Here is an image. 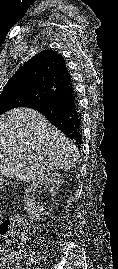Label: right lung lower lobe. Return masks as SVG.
<instances>
[{
  "instance_id": "98d812e1",
  "label": "right lung lower lobe",
  "mask_w": 118,
  "mask_h": 269,
  "mask_svg": "<svg viewBox=\"0 0 118 269\" xmlns=\"http://www.w3.org/2000/svg\"><path fill=\"white\" fill-rule=\"evenodd\" d=\"M42 113L77 145L82 140V117L73 84L28 106ZM80 148V146H78Z\"/></svg>"
}]
</instances>
